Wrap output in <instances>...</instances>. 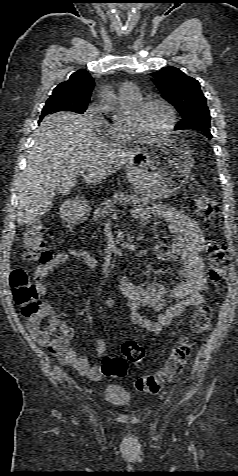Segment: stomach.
I'll use <instances>...</instances> for the list:
<instances>
[{
	"label": "stomach",
	"instance_id": "obj_1",
	"mask_svg": "<svg viewBox=\"0 0 238 476\" xmlns=\"http://www.w3.org/2000/svg\"><path fill=\"white\" fill-rule=\"evenodd\" d=\"M135 159L139 162H129L125 167L126 178L147 198L169 197L179 192L194 164L192 151L177 138L150 144L149 149L136 152ZM71 202L72 210L67 217L82 219L88 206L84 201Z\"/></svg>",
	"mask_w": 238,
	"mask_h": 476
}]
</instances>
